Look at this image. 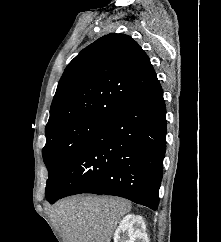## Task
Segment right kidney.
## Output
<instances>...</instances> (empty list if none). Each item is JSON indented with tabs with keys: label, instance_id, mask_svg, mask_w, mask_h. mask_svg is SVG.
<instances>
[{
	"label": "right kidney",
	"instance_id": "right-kidney-1",
	"mask_svg": "<svg viewBox=\"0 0 221 242\" xmlns=\"http://www.w3.org/2000/svg\"><path fill=\"white\" fill-rule=\"evenodd\" d=\"M114 242H149L143 218L139 215H126L114 233Z\"/></svg>",
	"mask_w": 221,
	"mask_h": 242
}]
</instances>
